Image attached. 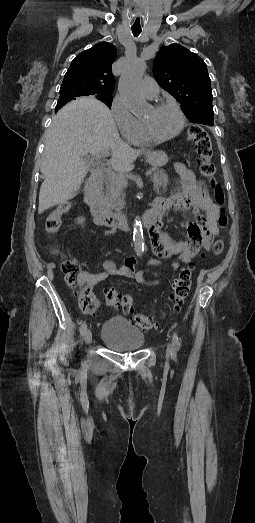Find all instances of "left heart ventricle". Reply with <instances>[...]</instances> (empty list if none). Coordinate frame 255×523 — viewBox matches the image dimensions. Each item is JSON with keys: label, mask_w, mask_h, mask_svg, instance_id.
Masks as SVG:
<instances>
[{"label": "left heart ventricle", "mask_w": 255, "mask_h": 523, "mask_svg": "<svg viewBox=\"0 0 255 523\" xmlns=\"http://www.w3.org/2000/svg\"><path fill=\"white\" fill-rule=\"evenodd\" d=\"M150 132L157 137H165L174 133L179 126V116L171 106H164L157 110L151 108L140 118Z\"/></svg>", "instance_id": "left-heart-ventricle-1"}]
</instances>
